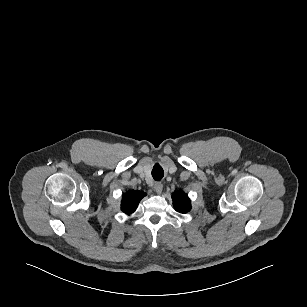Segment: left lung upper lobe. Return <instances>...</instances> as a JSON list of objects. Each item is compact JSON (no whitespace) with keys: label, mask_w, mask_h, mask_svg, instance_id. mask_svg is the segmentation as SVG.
Returning <instances> with one entry per match:
<instances>
[{"label":"left lung upper lobe","mask_w":307,"mask_h":307,"mask_svg":"<svg viewBox=\"0 0 307 307\" xmlns=\"http://www.w3.org/2000/svg\"><path fill=\"white\" fill-rule=\"evenodd\" d=\"M173 205L176 211L187 213L191 209V202L187 194L182 191L175 192L172 195Z\"/></svg>","instance_id":"left-lung-upper-lobe-1"}]
</instances>
